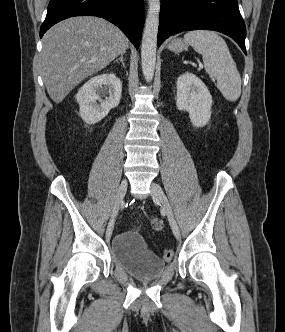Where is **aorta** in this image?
Returning <instances> with one entry per match:
<instances>
[{"mask_svg": "<svg viewBox=\"0 0 285 332\" xmlns=\"http://www.w3.org/2000/svg\"><path fill=\"white\" fill-rule=\"evenodd\" d=\"M160 0H150L141 45V65L147 82L153 79L156 63Z\"/></svg>", "mask_w": 285, "mask_h": 332, "instance_id": "obj_1", "label": "aorta"}]
</instances>
